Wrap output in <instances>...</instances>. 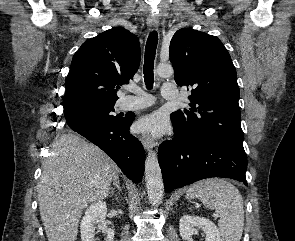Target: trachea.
<instances>
[{"label":"trachea","mask_w":295,"mask_h":241,"mask_svg":"<svg viewBox=\"0 0 295 241\" xmlns=\"http://www.w3.org/2000/svg\"><path fill=\"white\" fill-rule=\"evenodd\" d=\"M157 44H158V34L155 31H153L149 34L147 39V43L145 47L144 67H143L144 81H145L146 88L148 90L152 89L154 84L153 68H154V59H155Z\"/></svg>","instance_id":"1"}]
</instances>
